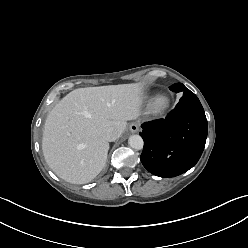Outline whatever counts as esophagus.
Returning a JSON list of instances; mask_svg holds the SVG:
<instances>
[{"label":"esophagus","instance_id":"34e87169","mask_svg":"<svg viewBox=\"0 0 248 248\" xmlns=\"http://www.w3.org/2000/svg\"><path fill=\"white\" fill-rule=\"evenodd\" d=\"M129 130L132 132V133H137L139 131V124L136 123V122H132L129 124Z\"/></svg>","mask_w":248,"mask_h":248}]
</instances>
